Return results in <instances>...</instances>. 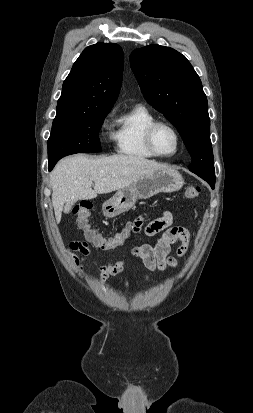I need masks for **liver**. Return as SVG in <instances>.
Wrapping results in <instances>:
<instances>
[{"instance_id":"obj_1","label":"liver","mask_w":253,"mask_h":413,"mask_svg":"<svg viewBox=\"0 0 253 413\" xmlns=\"http://www.w3.org/2000/svg\"><path fill=\"white\" fill-rule=\"evenodd\" d=\"M165 168L169 167L137 156L66 157L57 163L50 175L56 221L59 223L62 212H69L78 200L126 188L141 176Z\"/></svg>"}]
</instances>
